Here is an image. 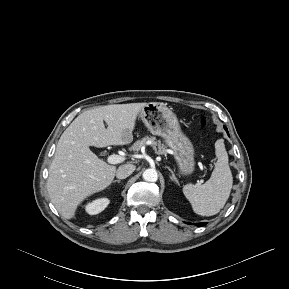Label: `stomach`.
I'll return each instance as SVG.
<instances>
[{
    "label": "stomach",
    "instance_id": "stomach-1",
    "mask_svg": "<svg viewBox=\"0 0 289 289\" xmlns=\"http://www.w3.org/2000/svg\"><path fill=\"white\" fill-rule=\"evenodd\" d=\"M139 117L152 134L164 138L173 151L180 173L191 175L195 169L194 147L182 132L175 113L163 103L150 102L142 108Z\"/></svg>",
    "mask_w": 289,
    "mask_h": 289
}]
</instances>
